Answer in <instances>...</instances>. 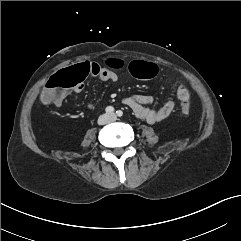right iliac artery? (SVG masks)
<instances>
[{
  "mask_svg": "<svg viewBox=\"0 0 241 241\" xmlns=\"http://www.w3.org/2000/svg\"><path fill=\"white\" fill-rule=\"evenodd\" d=\"M105 111H106L107 113H113V112H114V108H113L112 106H108V107L105 109Z\"/></svg>",
  "mask_w": 241,
  "mask_h": 241,
  "instance_id": "82829eb1",
  "label": "right iliac artery"
}]
</instances>
